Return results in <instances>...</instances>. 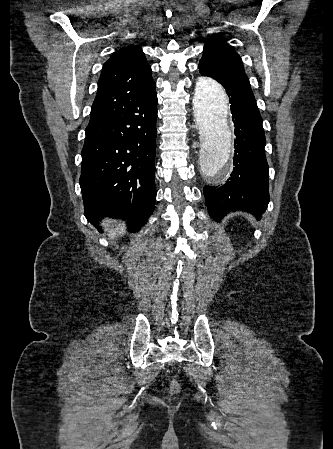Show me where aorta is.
<instances>
[{"label": "aorta", "instance_id": "aorta-1", "mask_svg": "<svg viewBox=\"0 0 333 449\" xmlns=\"http://www.w3.org/2000/svg\"><path fill=\"white\" fill-rule=\"evenodd\" d=\"M193 104L203 138L197 164L204 180L217 186L232 161L233 133L229 122V98L219 83L201 77L196 83Z\"/></svg>", "mask_w": 333, "mask_h": 449}]
</instances>
